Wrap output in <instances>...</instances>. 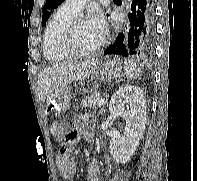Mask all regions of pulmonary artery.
<instances>
[{
    "label": "pulmonary artery",
    "mask_w": 197,
    "mask_h": 181,
    "mask_svg": "<svg viewBox=\"0 0 197 181\" xmlns=\"http://www.w3.org/2000/svg\"><path fill=\"white\" fill-rule=\"evenodd\" d=\"M87 2L88 0H66L63 6L66 9L79 14L83 10Z\"/></svg>",
    "instance_id": "pulmonary-artery-1"
}]
</instances>
